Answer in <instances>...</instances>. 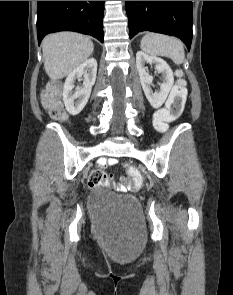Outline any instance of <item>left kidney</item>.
<instances>
[{"label":"left kidney","instance_id":"1","mask_svg":"<svg viewBox=\"0 0 233 295\" xmlns=\"http://www.w3.org/2000/svg\"><path fill=\"white\" fill-rule=\"evenodd\" d=\"M145 63L155 64L156 71L163 76L162 82L159 83L160 91L153 92L150 85L153 81V76L149 75L146 70ZM136 66L140 77V82L144 94L155 109L160 108L165 102L174 83V76L169 65L161 58L156 56H150L142 51H138L136 54Z\"/></svg>","mask_w":233,"mask_h":295}]
</instances>
